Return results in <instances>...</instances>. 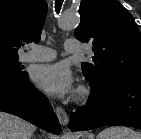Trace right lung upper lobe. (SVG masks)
Instances as JSON below:
<instances>
[{
    "mask_svg": "<svg viewBox=\"0 0 141 139\" xmlns=\"http://www.w3.org/2000/svg\"><path fill=\"white\" fill-rule=\"evenodd\" d=\"M46 14L45 0H0V56H18L24 42H39Z\"/></svg>",
    "mask_w": 141,
    "mask_h": 139,
    "instance_id": "1",
    "label": "right lung upper lobe"
}]
</instances>
